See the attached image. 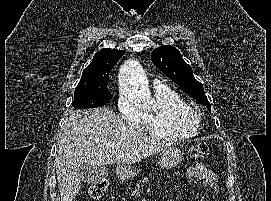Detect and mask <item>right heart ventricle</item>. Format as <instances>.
<instances>
[{"instance_id":"e07e8e85","label":"right heart ventricle","mask_w":271,"mask_h":201,"mask_svg":"<svg viewBox=\"0 0 271 201\" xmlns=\"http://www.w3.org/2000/svg\"><path fill=\"white\" fill-rule=\"evenodd\" d=\"M156 107L145 113L143 128L153 137L183 139L196 136L200 122L192 117L191 106L166 85L154 88Z\"/></svg>"}]
</instances>
